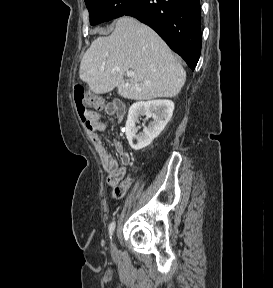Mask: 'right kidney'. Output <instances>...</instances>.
<instances>
[{
	"mask_svg": "<svg viewBox=\"0 0 273 288\" xmlns=\"http://www.w3.org/2000/svg\"><path fill=\"white\" fill-rule=\"evenodd\" d=\"M174 110V103L171 100H154L148 102H136L128 112L125 125L127 140L134 150H141L149 146L152 141L164 130L170 121ZM153 118V121L144 127L143 132L137 135L139 116ZM134 141H136L134 143Z\"/></svg>",
	"mask_w": 273,
	"mask_h": 288,
	"instance_id": "right-kidney-1",
	"label": "right kidney"
}]
</instances>
